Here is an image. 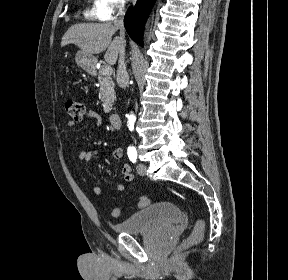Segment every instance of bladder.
Wrapping results in <instances>:
<instances>
[{
    "label": "bladder",
    "mask_w": 288,
    "mask_h": 280,
    "mask_svg": "<svg viewBox=\"0 0 288 280\" xmlns=\"http://www.w3.org/2000/svg\"><path fill=\"white\" fill-rule=\"evenodd\" d=\"M181 209L169 202L152 204L134 213L124 221L113 225L118 233L138 234L146 231L168 228L182 220Z\"/></svg>",
    "instance_id": "bladder-1"
}]
</instances>
